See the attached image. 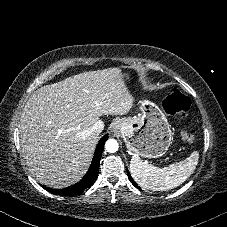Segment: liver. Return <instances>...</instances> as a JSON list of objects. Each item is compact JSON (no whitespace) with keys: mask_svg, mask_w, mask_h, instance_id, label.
Listing matches in <instances>:
<instances>
[{"mask_svg":"<svg viewBox=\"0 0 227 227\" xmlns=\"http://www.w3.org/2000/svg\"><path fill=\"white\" fill-rule=\"evenodd\" d=\"M122 70L108 68L68 77L35 90L20 120L26 165L41 184L65 188L85 174L103 115H124L133 107Z\"/></svg>","mask_w":227,"mask_h":227,"instance_id":"6515ba94","label":"liver"}]
</instances>
